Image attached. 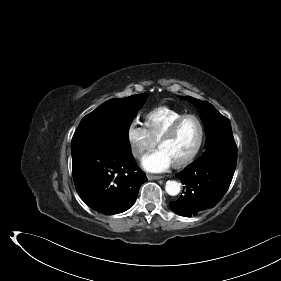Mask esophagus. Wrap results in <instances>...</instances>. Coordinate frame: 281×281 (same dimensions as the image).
Here are the masks:
<instances>
[{"label":"esophagus","instance_id":"34e87169","mask_svg":"<svg viewBox=\"0 0 281 281\" xmlns=\"http://www.w3.org/2000/svg\"><path fill=\"white\" fill-rule=\"evenodd\" d=\"M147 178H148V180H158V179H161L162 176H160V175H151V174H148V175H147Z\"/></svg>","mask_w":281,"mask_h":281}]
</instances>
